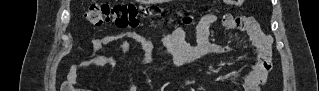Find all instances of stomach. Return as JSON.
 <instances>
[{
	"label": "stomach",
	"instance_id": "obj_1",
	"mask_svg": "<svg viewBox=\"0 0 319 91\" xmlns=\"http://www.w3.org/2000/svg\"><path fill=\"white\" fill-rule=\"evenodd\" d=\"M164 0H142L143 3L145 4H154V3H160L163 2Z\"/></svg>",
	"mask_w": 319,
	"mask_h": 91
}]
</instances>
